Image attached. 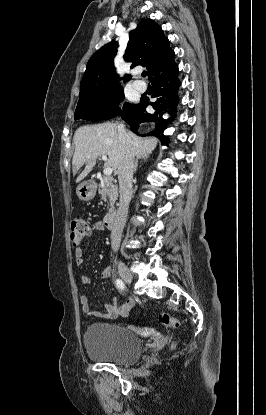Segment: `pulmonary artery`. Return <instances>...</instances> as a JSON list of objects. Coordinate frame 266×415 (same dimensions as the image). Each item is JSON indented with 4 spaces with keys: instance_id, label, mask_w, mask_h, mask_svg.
<instances>
[{
    "instance_id": "1",
    "label": "pulmonary artery",
    "mask_w": 266,
    "mask_h": 415,
    "mask_svg": "<svg viewBox=\"0 0 266 415\" xmlns=\"http://www.w3.org/2000/svg\"><path fill=\"white\" fill-rule=\"evenodd\" d=\"M133 86L135 87V89L141 92L145 91L147 88L146 83L141 80H135Z\"/></svg>"
}]
</instances>
